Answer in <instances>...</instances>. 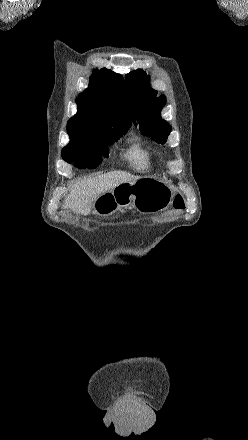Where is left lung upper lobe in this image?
Segmentation results:
<instances>
[{
	"instance_id": "1",
	"label": "left lung upper lobe",
	"mask_w": 248,
	"mask_h": 440,
	"mask_svg": "<svg viewBox=\"0 0 248 440\" xmlns=\"http://www.w3.org/2000/svg\"><path fill=\"white\" fill-rule=\"evenodd\" d=\"M133 110V121H139L140 131L152 137L160 144H165L171 127L160 117L162 107L166 104L164 95L157 96V91L150 88L146 73L138 69L125 76Z\"/></svg>"
}]
</instances>
